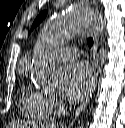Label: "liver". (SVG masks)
<instances>
[{"instance_id": "6515ba94", "label": "liver", "mask_w": 125, "mask_h": 128, "mask_svg": "<svg viewBox=\"0 0 125 128\" xmlns=\"http://www.w3.org/2000/svg\"><path fill=\"white\" fill-rule=\"evenodd\" d=\"M15 126H17L18 128H30V124L27 123H21Z\"/></svg>"}]
</instances>
